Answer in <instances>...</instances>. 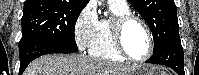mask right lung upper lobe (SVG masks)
<instances>
[{"mask_svg":"<svg viewBox=\"0 0 199 75\" xmlns=\"http://www.w3.org/2000/svg\"><path fill=\"white\" fill-rule=\"evenodd\" d=\"M88 2L89 0H26L24 5L46 6L53 3H61L74 7H85Z\"/></svg>","mask_w":199,"mask_h":75,"instance_id":"obj_1","label":"right lung upper lobe"}]
</instances>
